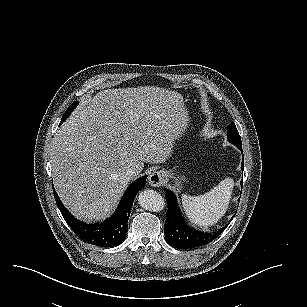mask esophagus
<instances>
[{
  "instance_id": "34e87169",
  "label": "esophagus",
  "mask_w": 307,
  "mask_h": 307,
  "mask_svg": "<svg viewBox=\"0 0 307 307\" xmlns=\"http://www.w3.org/2000/svg\"><path fill=\"white\" fill-rule=\"evenodd\" d=\"M165 178L164 171H152L148 177L149 184L152 187H160L163 184Z\"/></svg>"
}]
</instances>
